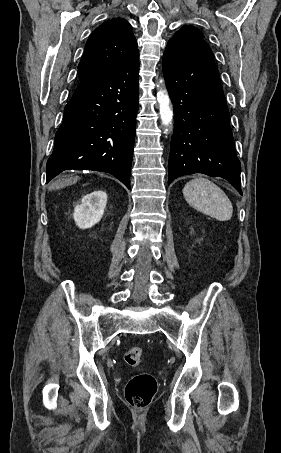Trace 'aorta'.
Wrapping results in <instances>:
<instances>
[{"instance_id":"762f6f07","label":"aorta","mask_w":281,"mask_h":453,"mask_svg":"<svg viewBox=\"0 0 281 453\" xmlns=\"http://www.w3.org/2000/svg\"><path fill=\"white\" fill-rule=\"evenodd\" d=\"M157 100L160 107V117L163 126L171 124L173 119V111L170 106L171 100L166 90L160 89L157 93Z\"/></svg>"}]
</instances>
